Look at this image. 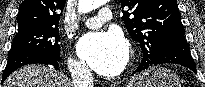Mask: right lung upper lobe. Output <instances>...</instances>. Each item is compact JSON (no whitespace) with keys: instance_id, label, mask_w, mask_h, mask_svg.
I'll return each instance as SVG.
<instances>
[{"instance_id":"cb5924a9","label":"right lung upper lobe","mask_w":205,"mask_h":87,"mask_svg":"<svg viewBox=\"0 0 205 87\" xmlns=\"http://www.w3.org/2000/svg\"><path fill=\"white\" fill-rule=\"evenodd\" d=\"M66 0H24L17 16L18 32L31 29L58 28Z\"/></svg>"}]
</instances>
